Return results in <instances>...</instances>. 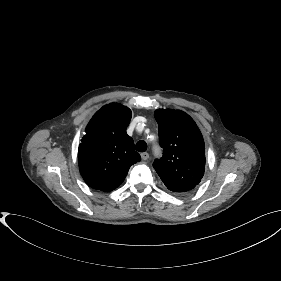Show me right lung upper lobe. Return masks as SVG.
Returning a JSON list of instances; mask_svg holds the SVG:
<instances>
[{
    "mask_svg": "<svg viewBox=\"0 0 281 281\" xmlns=\"http://www.w3.org/2000/svg\"><path fill=\"white\" fill-rule=\"evenodd\" d=\"M132 112L112 103L102 107L90 120L78 148L80 173L85 182L104 192L116 189L131 165L141 160L126 128Z\"/></svg>",
    "mask_w": 281,
    "mask_h": 281,
    "instance_id": "cb5924a9",
    "label": "right lung upper lobe"
}]
</instances>
